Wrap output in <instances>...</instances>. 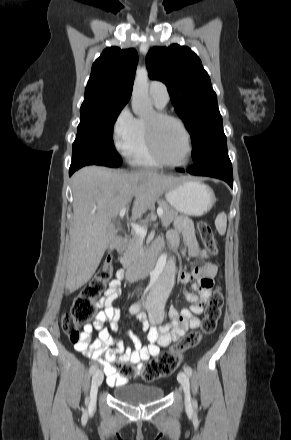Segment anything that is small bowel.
Returning a JSON list of instances; mask_svg holds the SVG:
<instances>
[{"mask_svg":"<svg viewBox=\"0 0 291 440\" xmlns=\"http://www.w3.org/2000/svg\"><path fill=\"white\" fill-rule=\"evenodd\" d=\"M181 238L188 247L191 256L200 261L191 273H182L181 281L187 283L192 279L191 288L198 292V295L184 291L186 300L191 303L190 308H182L179 312L171 307L169 315L172 318V325H163L160 327H150L147 340L148 344L143 345L140 338L132 331L127 335L133 342V348L126 347L122 341L114 339L110 335V330L119 331L120 312L112 306V303L120 296V285L124 277L123 271H118L115 279L108 286L104 296L98 302L101 308L93 323L84 326L82 342H76L74 348L76 351L85 354L92 360L98 361L106 373V381L109 386H122L128 382V377L118 370V367L126 364L136 365L137 373L151 359L157 357L161 348L182 337L187 330H194L200 326V320L197 315L201 314L208 301L210 293L205 286L207 279L217 274L218 268L210 260L208 253L198 244L196 232L193 224L186 218H179L176 221L175 228L167 233V244L170 251H175ZM163 248V241L158 240L154 249L158 252ZM137 319L144 328L148 327L147 317L143 313H137ZM109 323V328L105 327ZM99 330V338L91 343L93 330ZM104 355V359L101 356Z\"/></svg>","mask_w":291,"mask_h":440,"instance_id":"small-bowel-1","label":"small bowel"}]
</instances>
